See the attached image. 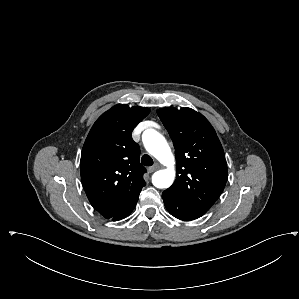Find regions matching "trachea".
Returning <instances> with one entry per match:
<instances>
[{
  "label": "trachea",
  "mask_w": 299,
  "mask_h": 299,
  "mask_svg": "<svg viewBox=\"0 0 299 299\" xmlns=\"http://www.w3.org/2000/svg\"><path fill=\"white\" fill-rule=\"evenodd\" d=\"M141 163L145 166H152L153 165V159L149 155L145 154L141 158Z\"/></svg>",
  "instance_id": "trachea-1"
}]
</instances>
